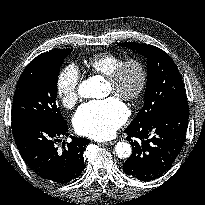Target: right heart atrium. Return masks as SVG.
Returning a JSON list of instances; mask_svg holds the SVG:
<instances>
[{
    "label": "right heart atrium",
    "mask_w": 205,
    "mask_h": 205,
    "mask_svg": "<svg viewBox=\"0 0 205 205\" xmlns=\"http://www.w3.org/2000/svg\"><path fill=\"white\" fill-rule=\"evenodd\" d=\"M80 79V72L73 65L65 67L59 73L56 80V95L64 107L71 108L78 101Z\"/></svg>",
    "instance_id": "right-heart-atrium-1"
}]
</instances>
